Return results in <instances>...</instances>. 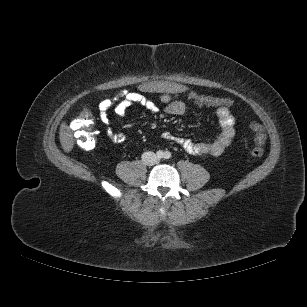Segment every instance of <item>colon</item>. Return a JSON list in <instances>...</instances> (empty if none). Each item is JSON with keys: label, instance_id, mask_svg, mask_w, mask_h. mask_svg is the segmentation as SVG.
Returning <instances> with one entry per match:
<instances>
[{"label": "colon", "instance_id": "obj_1", "mask_svg": "<svg viewBox=\"0 0 307 307\" xmlns=\"http://www.w3.org/2000/svg\"><path fill=\"white\" fill-rule=\"evenodd\" d=\"M170 98L172 101H179L174 96ZM185 100L199 107H229L232 104V99L227 96L196 94L195 96L187 95ZM70 127L82 149L92 150L95 148L97 144V132L94 129L93 116L89 109L81 110L71 122ZM249 128L256 139V144L250 153L254 157H261L264 154L265 127L257 121H251Z\"/></svg>", "mask_w": 307, "mask_h": 307}]
</instances>
